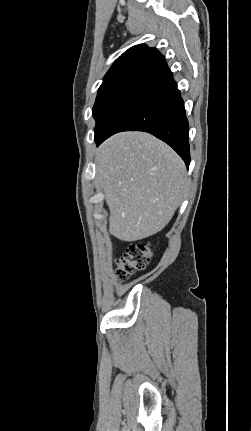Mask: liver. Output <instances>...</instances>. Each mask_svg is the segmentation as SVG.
Returning a JSON list of instances; mask_svg holds the SVG:
<instances>
[{"instance_id": "6515ba94", "label": "liver", "mask_w": 251, "mask_h": 431, "mask_svg": "<svg viewBox=\"0 0 251 431\" xmlns=\"http://www.w3.org/2000/svg\"><path fill=\"white\" fill-rule=\"evenodd\" d=\"M95 162L111 234L132 242L169 223L187 187L185 164L172 148L148 133L122 132L100 145Z\"/></svg>"}]
</instances>
